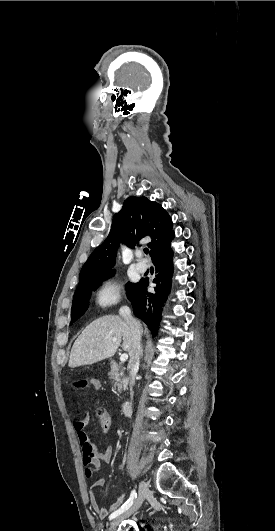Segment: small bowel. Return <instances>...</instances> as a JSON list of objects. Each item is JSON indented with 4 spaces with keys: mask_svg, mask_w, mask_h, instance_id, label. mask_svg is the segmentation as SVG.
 <instances>
[{
    "mask_svg": "<svg viewBox=\"0 0 275 531\" xmlns=\"http://www.w3.org/2000/svg\"><path fill=\"white\" fill-rule=\"evenodd\" d=\"M98 377L96 374L91 373L89 375H78L74 377V384L80 386L83 391L97 392L100 390L101 385L97 382ZM77 391L76 389L74 390ZM81 413H84V410H81ZM88 423V417L83 416L73 422L74 430L77 433L78 441L82 449L88 446H93L85 427ZM113 450L110 446L104 447L101 449L95 456V458L90 462L93 465H98L99 463H109L112 459ZM106 480L104 477H98L91 485L89 491V503L91 508L96 513L97 517L101 520L107 518V516L114 510H116L123 502L124 497L120 496L117 499L113 500L107 507H102L96 496V490L105 485Z\"/></svg>",
    "mask_w": 275,
    "mask_h": 531,
    "instance_id": "c3829d8e",
    "label": "small bowel"
}]
</instances>
